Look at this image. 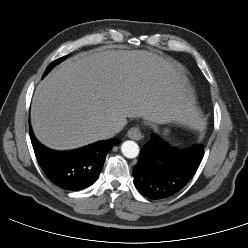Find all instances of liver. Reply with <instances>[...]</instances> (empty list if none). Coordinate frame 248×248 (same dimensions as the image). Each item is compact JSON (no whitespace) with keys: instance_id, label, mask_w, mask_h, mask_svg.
I'll return each instance as SVG.
<instances>
[{"instance_id":"liver-1","label":"liver","mask_w":248,"mask_h":248,"mask_svg":"<svg viewBox=\"0 0 248 248\" xmlns=\"http://www.w3.org/2000/svg\"><path fill=\"white\" fill-rule=\"evenodd\" d=\"M173 66L145 50L80 53L38 85L31 107L37 139L69 150L109 138V127L142 117L169 121L182 106Z\"/></svg>"}]
</instances>
